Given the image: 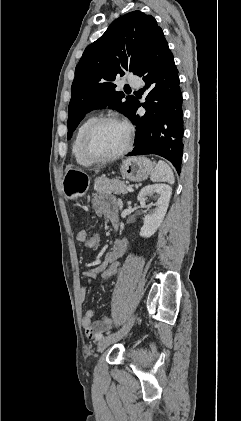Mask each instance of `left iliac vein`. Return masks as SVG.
<instances>
[{"label":"left iliac vein","instance_id":"obj_1","mask_svg":"<svg viewBox=\"0 0 241 421\" xmlns=\"http://www.w3.org/2000/svg\"><path fill=\"white\" fill-rule=\"evenodd\" d=\"M134 322H135V316H132L117 333L100 339V341L98 342V351L99 352L104 351L109 345L119 341L124 336H126L127 333L130 331V329L132 328Z\"/></svg>","mask_w":241,"mask_h":421}]
</instances>
